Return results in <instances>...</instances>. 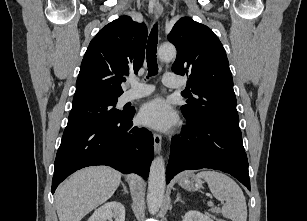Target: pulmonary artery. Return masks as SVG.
Here are the masks:
<instances>
[{
	"label": "pulmonary artery",
	"mask_w": 307,
	"mask_h": 221,
	"mask_svg": "<svg viewBox=\"0 0 307 221\" xmlns=\"http://www.w3.org/2000/svg\"><path fill=\"white\" fill-rule=\"evenodd\" d=\"M128 83L131 86V89H129L123 94V102H129L138 98L148 96L154 90L153 86L138 82L135 79H130ZM163 84L170 88H178L181 85L179 79L173 73L164 74Z\"/></svg>",
	"instance_id": "1"
}]
</instances>
